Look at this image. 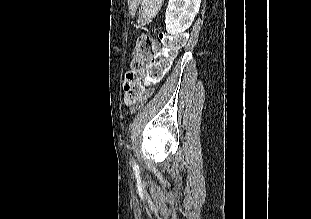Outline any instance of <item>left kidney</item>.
Wrapping results in <instances>:
<instances>
[{
  "mask_svg": "<svg viewBox=\"0 0 311 219\" xmlns=\"http://www.w3.org/2000/svg\"><path fill=\"white\" fill-rule=\"evenodd\" d=\"M201 0H169L165 14L166 31L175 35L186 31L194 21Z\"/></svg>",
  "mask_w": 311,
  "mask_h": 219,
  "instance_id": "left-kidney-1",
  "label": "left kidney"
}]
</instances>
